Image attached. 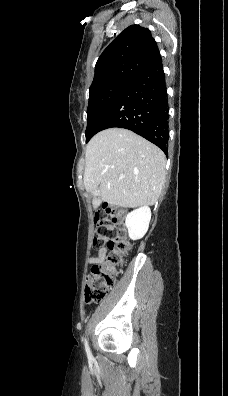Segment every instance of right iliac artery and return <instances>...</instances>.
Wrapping results in <instances>:
<instances>
[{"label": "right iliac artery", "instance_id": "obj_1", "mask_svg": "<svg viewBox=\"0 0 228 396\" xmlns=\"http://www.w3.org/2000/svg\"><path fill=\"white\" fill-rule=\"evenodd\" d=\"M85 349H86V353H87L88 358H92V354H91V351H90V348L88 346V342H87L86 339H85Z\"/></svg>", "mask_w": 228, "mask_h": 396}]
</instances>
